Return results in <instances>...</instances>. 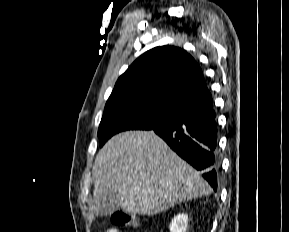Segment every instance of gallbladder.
Here are the masks:
<instances>
[{
	"label": "gallbladder",
	"mask_w": 289,
	"mask_h": 232,
	"mask_svg": "<svg viewBox=\"0 0 289 232\" xmlns=\"http://www.w3.org/2000/svg\"><path fill=\"white\" fill-rule=\"evenodd\" d=\"M97 212L101 216H107L119 209L115 193L109 192L94 199Z\"/></svg>",
	"instance_id": "bac80fb5"
}]
</instances>
